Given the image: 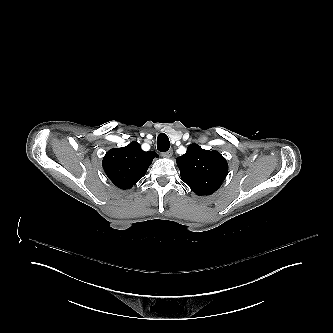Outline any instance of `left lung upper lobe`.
I'll return each mask as SVG.
<instances>
[{"label": "left lung upper lobe", "instance_id": "5c2ea615", "mask_svg": "<svg viewBox=\"0 0 333 333\" xmlns=\"http://www.w3.org/2000/svg\"><path fill=\"white\" fill-rule=\"evenodd\" d=\"M176 162L182 181L199 196L214 193L228 173V163L218 151L202 149L195 143Z\"/></svg>", "mask_w": 333, "mask_h": 333}]
</instances>
